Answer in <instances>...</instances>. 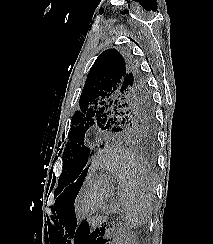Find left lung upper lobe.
I'll return each mask as SVG.
<instances>
[{
  "mask_svg": "<svg viewBox=\"0 0 213 244\" xmlns=\"http://www.w3.org/2000/svg\"><path fill=\"white\" fill-rule=\"evenodd\" d=\"M148 83L136 62L115 49L101 53L91 67L80 96V110L71 120L58 189L77 178L80 158L88 148L84 135L97 124L112 133L151 140L155 135L154 105Z\"/></svg>",
  "mask_w": 213,
  "mask_h": 244,
  "instance_id": "obj_1",
  "label": "left lung upper lobe"
}]
</instances>
